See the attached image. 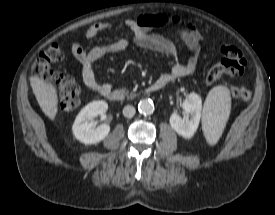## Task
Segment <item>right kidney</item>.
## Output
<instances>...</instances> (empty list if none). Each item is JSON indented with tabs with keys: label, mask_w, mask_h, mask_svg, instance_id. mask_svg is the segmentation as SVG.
<instances>
[{
	"label": "right kidney",
	"mask_w": 275,
	"mask_h": 215,
	"mask_svg": "<svg viewBox=\"0 0 275 215\" xmlns=\"http://www.w3.org/2000/svg\"><path fill=\"white\" fill-rule=\"evenodd\" d=\"M105 101H93L86 105L77 115L72 131L77 140L84 144H96L102 141L109 133L110 127L102 124L94 128L93 118L107 111Z\"/></svg>",
	"instance_id": "ca27d5eb"
}]
</instances>
